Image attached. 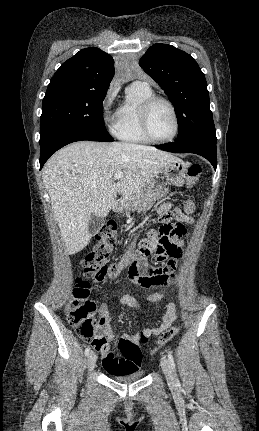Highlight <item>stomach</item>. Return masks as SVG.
<instances>
[{"label":"stomach","mask_w":259,"mask_h":431,"mask_svg":"<svg viewBox=\"0 0 259 431\" xmlns=\"http://www.w3.org/2000/svg\"><path fill=\"white\" fill-rule=\"evenodd\" d=\"M188 165L182 160L168 164L162 172L166 182L151 181L147 183L137 194L127 198L124 202L125 208L147 210L157 200H160L169 193L168 185L182 186L185 181V173Z\"/></svg>","instance_id":"0dacf381"}]
</instances>
